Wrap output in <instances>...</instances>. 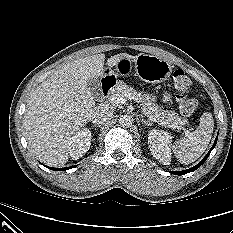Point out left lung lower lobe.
Here are the masks:
<instances>
[{"mask_svg": "<svg viewBox=\"0 0 233 233\" xmlns=\"http://www.w3.org/2000/svg\"><path fill=\"white\" fill-rule=\"evenodd\" d=\"M217 138H218V136H217ZM217 138L215 139V142H214L212 148L210 149V151L207 153V155L203 158V160L200 163H198L196 166H194V167H192L190 169L183 170V171H178V172H172V174L184 175V174H187L189 172L195 171L197 168H199L206 161V159L208 158V156H209L210 152L212 151V149L216 146Z\"/></svg>", "mask_w": 233, "mask_h": 233, "instance_id": "1", "label": "left lung lower lobe"}]
</instances>
